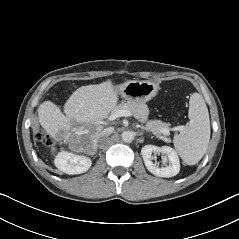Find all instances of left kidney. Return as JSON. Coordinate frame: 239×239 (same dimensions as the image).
I'll return each instance as SVG.
<instances>
[{
	"instance_id": "left-kidney-1",
	"label": "left kidney",
	"mask_w": 239,
	"mask_h": 239,
	"mask_svg": "<svg viewBox=\"0 0 239 239\" xmlns=\"http://www.w3.org/2000/svg\"><path fill=\"white\" fill-rule=\"evenodd\" d=\"M152 153H161L167 156L169 165L165 167H158L153 163ZM146 168L152 174L159 177H173L180 171V162L177 153L174 149L168 146L157 147L154 145H145L141 149Z\"/></svg>"
}]
</instances>
